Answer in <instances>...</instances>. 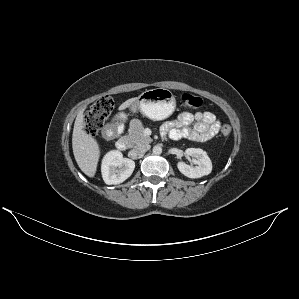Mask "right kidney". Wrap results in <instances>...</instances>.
<instances>
[{
  "label": "right kidney",
  "instance_id": "1",
  "mask_svg": "<svg viewBox=\"0 0 299 299\" xmlns=\"http://www.w3.org/2000/svg\"><path fill=\"white\" fill-rule=\"evenodd\" d=\"M135 168V162L123 155L118 150L109 151L102 160L101 172L103 180L108 185H116L124 182L131 176Z\"/></svg>",
  "mask_w": 299,
  "mask_h": 299
}]
</instances>
